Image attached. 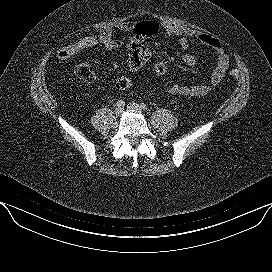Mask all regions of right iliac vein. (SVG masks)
Wrapping results in <instances>:
<instances>
[{
	"label": "right iliac vein",
	"mask_w": 272,
	"mask_h": 272,
	"mask_svg": "<svg viewBox=\"0 0 272 272\" xmlns=\"http://www.w3.org/2000/svg\"><path fill=\"white\" fill-rule=\"evenodd\" d=\"M122 113H123V108H121V107L116 108L115 114H116L117 116H121Z\"/></svg>",
	"instance_id": "obj_1"
}]
</instances>
